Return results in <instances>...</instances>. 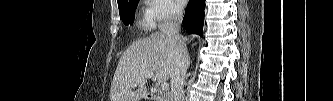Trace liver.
<instances>
[{
  "instance_id": "6515ba94",
  "label": "liver",
  "mask_w": 333,
  "mask_h": 101,
  "mask_svg": "<svg viewBox=\"0 0 333 101\" xmlns=\"http://www.w3.org/2000/svg\"><path fill=\"white\" fill-rule=\"evenodd\" d=\"M184 43L187 37H182ZM174 57L166 35L155 32L133 42L121 56L110 90V101H140L147 95L146 75L155 73L158 82L170 79ZM138 85V89L133 88Z\"/></svg>"
}]
</instances>
